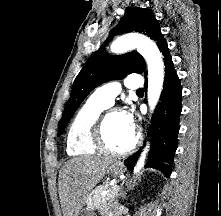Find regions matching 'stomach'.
I'll list each match as a JSON object with an SVG mask.
<instances>
[{
	"label": "stomach",
	"instance_id": "stomach-1",
	"mask_svg": "<svg viewBox=\"0 0 221 216\" xmlns=\"http://www.w3.org/2000/svg\"><path fill=\"white\" fill-rule=\"evenodd\" d=\"M108 172L113 176H118L123 173V166L120 163H114L108 168ZM78 216H94V212L90 209L82 211Z\"/></svg>",
	"mask_w": 221,
	"mask_h": 216
}]
</instances>
